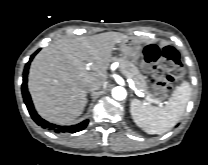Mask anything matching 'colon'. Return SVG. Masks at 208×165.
<instances>
[{
    "mask_svg": "<svg viewBox=\"0 0 208 165\" xmlns=\"http://www.w3.org/2000/svg\"><path fill=\"white\" fill-rule=\"evenodd\" d=\"M144 69L153 74L152 87L162 96L170 92L175 78L183 68L179 52L172 46L159 48L148 45L144 49Z\"/></svg>",
    "mask_w": 208,
    "mask_h": 165,
    "instance_id": "1",
    "label": "colon"
}]
</instances>
